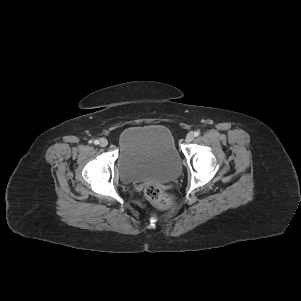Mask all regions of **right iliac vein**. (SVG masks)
I'll return each instance as SVG.
<instances>
[{"label": "right iliac vein", "mask_w": 301, "mask_h": 301, "mask_svg": "<svg viewBox=\"0 0 301 301\" xmlns=\"http://www.w3.org/2000/svg\"><path fill=\"white\" fill-rule=\"evenodd\" d=\"M99 145L101 147H106L108 145V141L105 138H101L99 141Z\"/></svg>", "instance_id": "right-iliac-vein-1"}]
</instances>
